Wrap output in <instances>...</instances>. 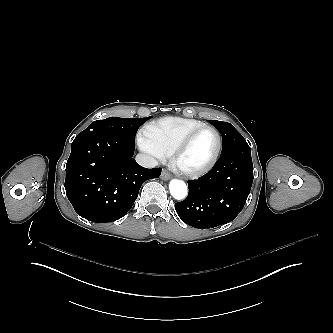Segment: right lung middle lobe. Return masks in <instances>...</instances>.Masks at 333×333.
<instances>
[{
	"instance_id": "dd1d6c3e",
	"label": "right lung middle lobe",
	"mask_w": 333,
	"mask_h": 333,
	"mask_svg": "<svg viewBox=\"0 0 333 333\" xmlns=\"http://www.w3.org/2000/svg\"><path fill=\"white\" fill-rule=\"evenodd\" d=\"M148 118H119L109 117L104 120H97L91 123L80 134H92L95 132H105L117 137L135 141L138 128L146 122Z\"/></svg>"
}]
</instances>
